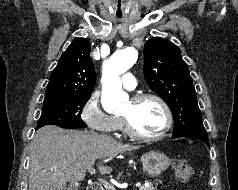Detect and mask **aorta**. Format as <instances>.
Here are the masks:
<instances>
[{"mask_svg": "<svg viewBox=\"0 0 238 190\" xmlns=\"http://www.w3.org/2000/svg\"><path fill=\"white\" fill-rule=\"evenodd\" d=\"M137 60L134 48L116 51L103 65L101 103L108 113L121 107L128 95L122 90L120 75L129 70Z\"/></svg>", "mask_w": 238, "mask_h": 190, "instance_id": "obj_1", "label": "aorta"}]
</instances>
